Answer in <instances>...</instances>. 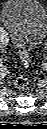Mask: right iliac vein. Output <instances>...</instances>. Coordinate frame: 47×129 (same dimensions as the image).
<instances>
[{"label": "right iliac vein", "instance_id": "right-iliac-vein-1", "mask_svg": "<svg viewBox=\"0 0 47 129\" xmlns=\"http://www.w3.org/2000/svg\"><path fill=\"white\" fill-rule=\"evenodd\" d=\"M2 42H3V44H7L8 43V39H4Z\"/></svg>", "mask_w": 47, "mask_h": 129}]
</instances>
